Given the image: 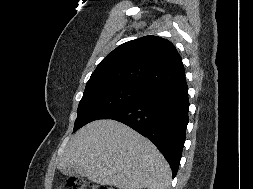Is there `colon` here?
<instances>
[{"instance_id":"colon-1","label":"colon","mask_w":253,"mask_h":189,"mask_svg":"<svg viewBox=\"0 0 253 189\" xmlns=\"http://www.w3.org/2000/svg\"><path fill=\"white\" fill-rule=\"evenodd\" d=\"M67 185L70 189H113L111 186L93 183L82 178H70Z\"/></svg>"}]
</instances>
